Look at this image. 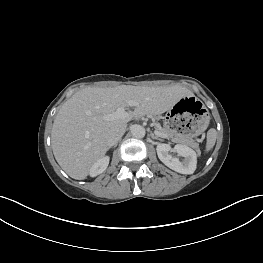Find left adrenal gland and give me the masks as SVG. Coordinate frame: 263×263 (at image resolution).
<instances>
[{"label": "left adrenal gland", "mask_w": 263, "mask_h": 263, "mask_svg": "<svg viewBox=\"0 0 263 263\" xmlns=\"http://www.w3.org/2000/svg\"><path fill=\"white\" fill-rule=\"evenodd\" d=\"M151 137L153 138V139H157V140H159V141H162V139H160L158 136H156L154 133H152L151 132Z\"/></svg>", "instance_id": "left-adrenal-gland-1"}]
</instances>
